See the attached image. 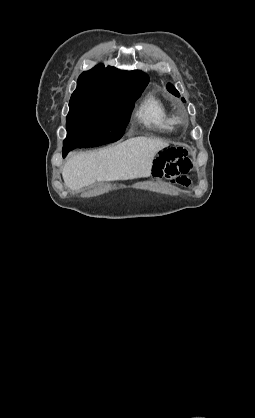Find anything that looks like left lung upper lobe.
I'll return each instance as SVG.
<instances>
[{"label":"left lung upper lobe","mask_w":255,"mask_h":418,"mask_svg":"<svg viewBox=\"0 0 255 418\" xmlns=\"http://www.w3.org/2000/svg\"><path fill=\"white\" fill-rule=\"evenodd\" d=\"M167 89H168L169 92H171L176 97H180V94L178 93V91L170 83L167 84ZM182 101L185 102V99L182 98Z\"/></svg>","instance_id":"5c2ea615"}]
</instances>
